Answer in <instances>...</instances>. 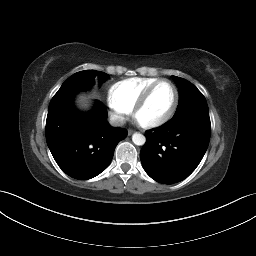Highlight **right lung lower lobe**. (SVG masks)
I'll list each match as a JSON object with an SVG mask.
<instances>
[{
  "mask_svg": "<svg viewBox=\"0 0 256 256\" xmlns=\"http://www.w3.org/2000/svg\"><path fill=\"white\" fill-rule=\"evenodd\" d=\"M107 110L97 101L89 113L78 112L73 99L49 105L46 140L59 167L70 177L87 180L100 174L112 160L127 131L106 120Z\"/></svg>",
  "mask_w": 256,
  "mask_h": 256,
  "instance_id": "right-lung-lower-lobe-1",
  "label": "right lung lower lobe"
}]
</instances>
